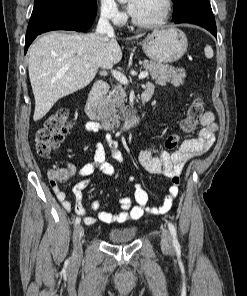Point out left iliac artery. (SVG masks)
<instances>
[{"mask_svg": "<svg viewBox=\"0 0 247 296\" xmlns=\"http://www.w3.org/2000/svg\"><path fill=\"white\" fill-rule=\"evenodd\" d=\"M168 228H169V231H170V233L172 235L174 246L175 247H178L179 246V242H178V239H177L176 228L174 227V225L171 222H168Z\"/></svg>", "mask_w": 247, "mask_h": 296, "instance_id": "1", "label": "left iliac artery"}]
</instances>
